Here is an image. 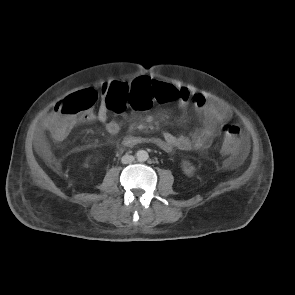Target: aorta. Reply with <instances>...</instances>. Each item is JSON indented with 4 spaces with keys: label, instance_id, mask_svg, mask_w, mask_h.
Returning a JSON list of instances; mask_svg holds the SVG:
<instances>
[{
    "label": "aorta",
    "instance_id": "762f6f07",
    "mask_svg": "<svg viewBox=\"0 0 295 295\" xmlns=\"http://www.w3.org/2000/svg\"><path fill=\"white\" fill-rule=\"evenodd\" d=\"M136 157L138 161H146L149 158L148 152L145 150H139L136 153Z\"/></svg>",
    "mask_w": 295,
    "mask_h": 295
}]
</instances>
